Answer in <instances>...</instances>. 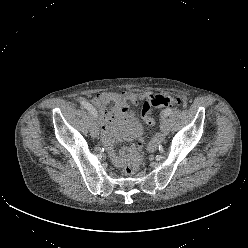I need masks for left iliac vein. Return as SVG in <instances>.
<instances>
[{
  "label": "left iliac vein",
  "mask_w": 248,
  "mask_h": 248,
  "mask_svg": "<svg viewBox=\"0 0 248 248\" xmlns=\"http://www.w3.org/2000/svg\"><path fill=\"white\" fill-rule=\"evenodd\" d=\"M160 129L164 135L168 134V131H169L168 120H167L166 115H164V114L161 117Z\"/></svg>",
  "instance_id": "4c4485c4"
}]
</instances>
